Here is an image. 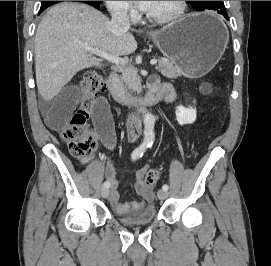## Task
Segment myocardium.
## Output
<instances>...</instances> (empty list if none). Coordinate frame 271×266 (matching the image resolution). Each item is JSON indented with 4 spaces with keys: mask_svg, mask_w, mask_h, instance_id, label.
I'll list each match as a JSON object with an SVG mask.
<instances>
[{
    "mask_svg": "<svg viewBox=\"0 0 271 266\" xmlns=\"http://www.w3.org/2000/svg\"><path fill=\"white\" fill-rule=\"evenodd\" d=\"M186 8V1H176V8L171 13L166 15H152L146 13V18L152 22L159 24L171 23L179 20L184 15Z\"/></svg>",
    "mask_w": 271,
    "mask_h": 266,
    "instance_id": "1",
    "label": "myocardium"
}]
</instances>
